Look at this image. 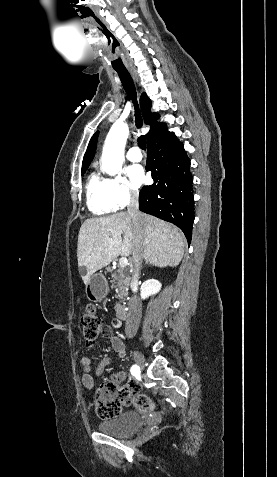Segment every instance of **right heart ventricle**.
<instances>
[{
    "label": "right heart ventricle",
    "mask_w": 277,
    "mask_h": 477,
    "mask_svg": "<svg viewBox=\"0 0 277 477\" xmlns=\"http://www.w3.org/2000/svg\"><path fill=\"white\" fill-rule=\"evenodd\" d=\"M86 203L95 215H105L114 209L107 194L106 179L96 172L90 173L86 182Z\"/></svg>",
    "instance_id": "1"
}]
</instances>
